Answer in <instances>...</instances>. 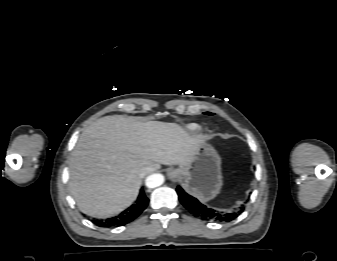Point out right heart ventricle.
Masks as SVG:
<instances>
[{
    "label": "right heart ventricle",
    "mask_w": 337,
    "mask_h": 261,
    "mask_svg": "<svg viewBox=\"0 0 337 261\" xmlns=\"http://www.w3.org/2000/svg\"><path fill=\"white\" fill-rule=\"evenodd\" d=\"M199 125H197V124H190V125H188V129L189 130H191V131H197V130H199Z\"/></svg>",
    "instance_id": "1"
}]
</instances>
